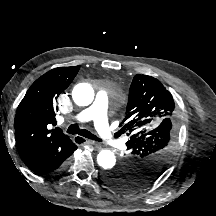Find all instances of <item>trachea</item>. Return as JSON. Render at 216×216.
I'll use <instances>...</instances> for the list:
<instances>
[{
  "mask_svg": "<svg viewBox=\"0 0 216 216\" xmlns=\"http://www.w3.org/2000/svg\"><path fill=\"white\" fill-rule=\"evenodd\" d=\"M67 133L69 134H79L85 138L96 140V141H101L100 138H98L96 135L92 134L86 129H80L77 124H72L68 127ZM83 141H79L78 143H82Z\"/></svg>",
  "mask_w": 216,
  "mask_h": 216,
  "instance_id": "obj_1",
  "label": "trachea"
}]
</instances>
